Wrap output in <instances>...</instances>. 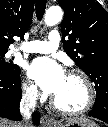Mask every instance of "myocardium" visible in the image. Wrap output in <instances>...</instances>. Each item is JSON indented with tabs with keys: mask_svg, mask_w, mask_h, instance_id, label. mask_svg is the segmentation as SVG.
<instances>
[{
	"mask_svg": "<svg viewBox=\"0 0 108 127\" xmlns=\"http://www.w3.org/2000/svg\"><path fill=\"white\" fill-rule=\"evenodd\" d=\"M67 74L77 76L81 79L84 84L85 91H86V100L82 107L78 109H66L60 106L54 97L51 98V106L57 112L64 114V115H82L88 112L94 105L95 102V90L94 86L89 78V76L81 69L72 68L68 70Z\"/></svg>",
	"mask_w": 108,
	"mask_h": 127,
	"instance_id": "myocardium-1",
	"label": "myocardium"
}]
</instances>
